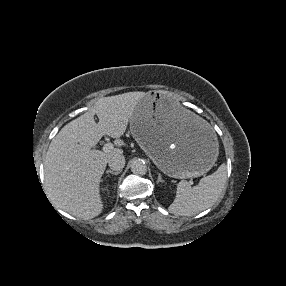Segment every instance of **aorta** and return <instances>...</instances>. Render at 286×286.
Returning <instances> with one entry per match:
<instances>
[{
  "instance_id": "aorta-1",
  "label": "aorta",
  "mask_w": 286,
  "mask_h": 286,
  "mask_svg": "<svg viewBox=\"0 0 286 286\" xmlns=\"http://www.w3.org/2000/svg\"><path fill=\"white\" fill-rule=\"evenodd\" d=\"M131 171L136 175H145L147 173V166L141 159H133L130 162Z\"/></svg>"
}]
</instances>
